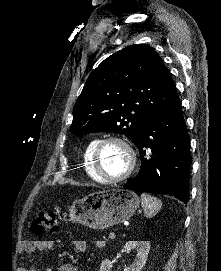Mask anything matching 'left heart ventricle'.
Segmentation results:
<instances>
[{
  "instance_id": "b2bd125f",
  "label": "left heart ventricle",
  "mask_w": 221,
  "mask_h": 271,
  "mask_svg": "<svg viewBox=\"0 0 221 271\" xmlns=\"http://www.w3.org/2000/svg\"><path fill=\"white\" fill-rule=\"evenodd\" d=\"M116 141V140H106ZM101 158H98V163L104 166L107 175L112 177H121L122 169H127L126 161H124V152H120V147L117 144H106V147H101Z\"/></svg>"
}]
</instances>
